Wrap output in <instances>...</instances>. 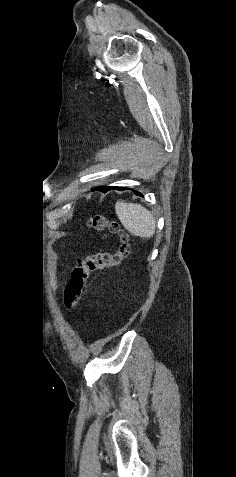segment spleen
<instances>
[{
    "mask_svg": "<svg viewBox=\"0 0 236 477\" xmlns=\"http://www.w3.org/2000/svg\"><path fill=\"white\" fill-rule=\"evenodd\" d=\"M116 214L126 230L141 238H150L154 235L156 221L152 213L140 204L117 201Z\"/></svg>",
    "mask_w": 236,
    "mask_h": 477,
    "instance_id": "1",
    "label": "spleen"
}]
</instances>
